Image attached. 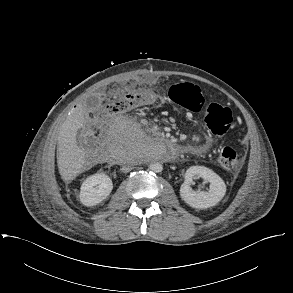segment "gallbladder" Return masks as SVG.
<instances>
[{"label":"gallbladder","mask_w":293,"mask_h":293,"mask_svg":"<svg viewBox=\"0 0 293 293\" xmlns=\"http://www.w3.org/2000/svg\"><path fill=\"white\" fill-rule=\"evenodd\" d=\"M100 104V100L98 97L96 96H89L87 99H86V102H85V108L88 110V111H92L94 110L95 108H97Z\"/></svg>","instance_id":"1"}]
</instances>
